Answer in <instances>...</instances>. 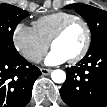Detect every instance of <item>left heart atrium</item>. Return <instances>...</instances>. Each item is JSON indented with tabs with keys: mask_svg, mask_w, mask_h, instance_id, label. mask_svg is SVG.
I'll return each mask as SVG.
<instances>
[{
	"mask_svg": "<svg viewBox=\"0 0 107 107\" xmlns=\"http://www.w3.org/2000/svg\"><path fill=\"white\" fill-rule=\"evenodd\" d=\"M67 60L68 59H67V57L65 55H63L58 50L53 49L46 56L44 62H45L46 65L53 66V65L62 64V63H64Z\"/></svg>",
	"mask_w": 107,
	"mask_h": 107,
	"instance_id": "39dd6f15",
	"label": "left heart atrium"
}]
</instances>
